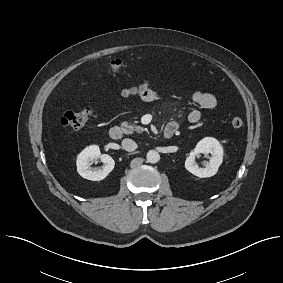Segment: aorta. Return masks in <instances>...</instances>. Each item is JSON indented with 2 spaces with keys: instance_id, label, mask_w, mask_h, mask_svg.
<instances>
[{
  "instance_id": "762f6f07",
  "label": "aorta",
  "mask_w": 283,
  "mask_h": 283,
  "mask_svg": "<svg viewBox=\"0 0 283 283\" xmlns=\"http://www.w3.org/2000/svg\"><path fill=\"white\" fill-rule=\"evenodd\" d=\"M147 161L149 163H157L160 160V155L157 151L155 150H150L148 151L147 155H146Z\"/></svg>"
}]
</instances>
